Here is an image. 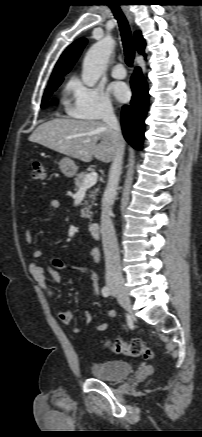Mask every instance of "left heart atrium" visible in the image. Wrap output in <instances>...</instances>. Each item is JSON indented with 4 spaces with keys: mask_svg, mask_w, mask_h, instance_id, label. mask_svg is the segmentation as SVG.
Masks as SVG:
<instances>
[{
    "mask_svg": "<svg viewBox=\"0 0 202 437\" xmlns=\"http://www.w3.org/2000/svg\"><path fill=\"white\" fill-rule=\"evenodd\" d=\"M110 92L115 96V98L120 102H125L130 97V91L128 87L121 82H116L111 84Z\"/></svg>",
    "mask_w": 202,
    "mask_h": 437,
    "instance_id": "1",
    "label": "left heart atrium"
}]
</instances>
